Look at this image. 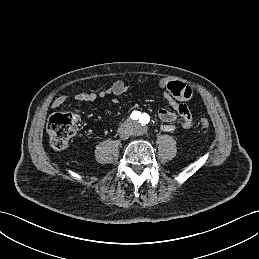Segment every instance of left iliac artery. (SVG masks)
Wrapping results in <instances>:
<instances>
[{"mask_svg": "<svg viewBox=\"0 0 259 259\" xmlns=\"http://www.w3.org/2000/svg\"><path fill=\"white\" fill-rule=\"evenodd\" d=\"M141 119H142V121L144 122V124H146V123L149 122L150 117H149V115H147L146 113H143V114L141 115Z\"/></svg>", "mask_w": 259, "mask_h": 259, "instance_id": "obj_1", "label": "left iliac artery"}]
</instances>
